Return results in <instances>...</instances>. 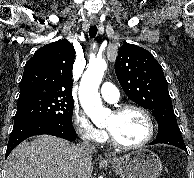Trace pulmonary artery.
Wrapping results in <instances>:
<instances>
[{"label":"pulmonary artery","instance_id":"e3ab8cb5","mask_svg":"<svg viewBox=\"0 0 194 178\" xmlns=\"http://www.w3.org/2000/svg\"><path fill=\"white\" fill-rule=\"evenodd\" d=\"M102 98L109 103H117L119 101V91L110 82H104L101 87Z\"/></svg>","mask_w":194,"mask_h":178}]
</instances>
